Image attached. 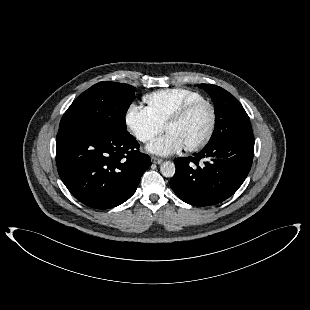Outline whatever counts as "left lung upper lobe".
Masks as SVG:
<instances>
[{"instance_id":"1","label":"left lung upper lobe","mask_w":310,"mask_h":310,"mask_svg":"<svg viewBox=\"0 0 310 310\" xmlns=\"http://www.w3.org/2000/svg\"><path fill=\"white\" fill-rule=\"evenodd\" d=\"M199 87L211 96L215 108V129L206 146L251 130L246 111L232 94L216 85L200 84Z\"/></svg>"}]
</instances>
